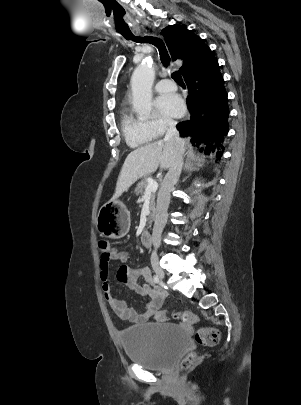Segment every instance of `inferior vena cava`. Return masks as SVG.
<instances>
[{
  "mask_svg": "<svg viewBox=\"0 0 301 405\" xmlns=\"http://www.w3.org/2000/svg\"><path fill=\"white\" fill-rule=\"evenodd\" d=\"M164 140L174 142L177 146H179L180 150L175 161L170 166L158 192L155 222L152 232L154 254H156V251L160 246L161 234L167 222V210L170 203V193L173 186L177 183L183 167L185 141L180 138L179 132L176 129V122L172 119H168L166 121V135Z\"/></svg>",
  "mask_w": 301,
  "mask_h": 405,
  "instance_id": "inferior-vena-cava-1",
  "label": "inferior vena cava"
}]
</instances>
